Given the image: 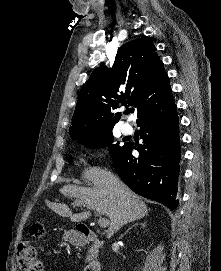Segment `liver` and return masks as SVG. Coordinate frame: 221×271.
Returning a JSON list of instances; mask_svg holds the SVG:
<instances>
[{
  "instance_id": "liver-1",
  "label": "liver",
  "mask_w": 221,
  "mask_h": 271,
  "mask_svg": "<svg viewBox=\"0 0 221 271\" xmlns=\"http://www.w3.org/2000/svg\"><path fill=\"white\" fill-rule=\"evenodd\" d=\"M85 179L92 181L93 187H77V185H63L62 193L77 197L78 205H86L88 211L73 213L65 203H51L48 207L55 213L70 217L71 221H84L91 215L89 209H96L101 215H108L110 225L107 237H112L122 225L136 221L148 215V207L141 197L131 191L120 177L108 171L107 167H87L83 173Z\"/></svg>"
}]
</instances>
